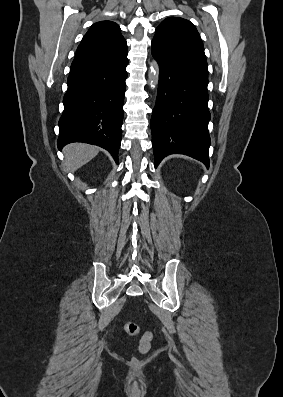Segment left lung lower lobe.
Wrapping results in <instances>:
<instances>
[{
  "label": "left lung lower lobe",
  "instance_id": "1",
  "mask_svg": "<svg viewBox=\"0 0 283 397\" xmlns=\"http://www.w3.org/2000/svg\"><path fill=\"white\" fill-rule=\"evenodd\" d=\"M151 52L160 68L151 117L155 166L169 154H184L209 167L208 78L153 45Z\"/></svg>",
  "mask_w": 283,
  "mask_h": 397
}]
</instances>
